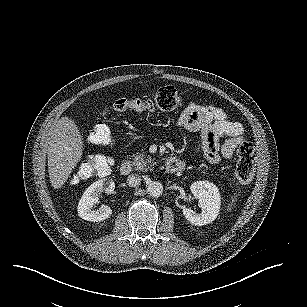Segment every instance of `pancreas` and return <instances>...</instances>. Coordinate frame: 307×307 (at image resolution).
<instances>
[{"label": "pancreas", "mask_w": 307, "mask_h": 307, "mask_svg": "<svg viewBox=\"0 0 307 307\" xmlns=\"http://www.w3.org/2000/svg\"><path fill=\"white\" fill-rule=\"evenodd\" d=\"M132 165L135 171L146 172L147 170L153 168L156 163L154 159L145 153H137L133 156Z\"/></svg>", "instance_id": "obj_1"}]
</instances>
